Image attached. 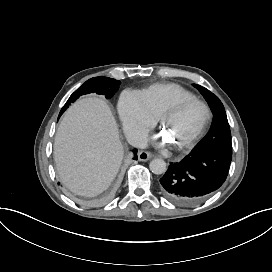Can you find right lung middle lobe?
<instances>
[{
	"instance_id": "dd1d6c3e",
	"label": "right lung middle lobe",
	"mask_w": 272,
	"mask_h": 272,
	"mask_svg": "<svg viewBox=\"0 0 272 272\" xmlns=\"http://www.w3.org/2000/svg\"><path fill=\"white\" fill-rule=\"evenodd\" d=\"M120 81L108 78V77H94L87 80L78 90H76L68 99L66 104L60 111L61 114L68 108L71 102H74L79 96L88 93H94L105 95L106 98H111L118 90Z\"/></svg>"
}]
</instances>
